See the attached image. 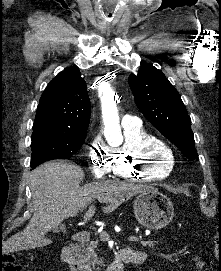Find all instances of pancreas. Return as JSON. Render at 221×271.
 Here are the masks:
<instances>
[{
	"label": "pancreas",
	"mask_w": 221,
	"mask_h": 271,
	"mask_svg": "<svg viewBox=\"0 0 221 271\" xmlns=\"http://www.w3.org/2000/svg\"><path fill=\"white\" fill-rule=\"evenodd\" d=\"M137 243L141 244L142 247H158L161 244V239H138ZM96 247V241H90L89 245L83 247L82 251H80L78 255L84 265H88V267H90V271L95 269L96 263L97 265H102L103 263V259H101V257H97Z\"/></svg>",
	"instance_id": "obj_1"
}]
</instances>
